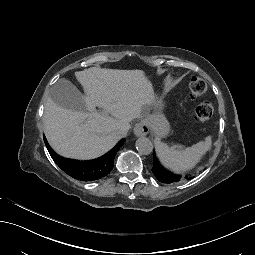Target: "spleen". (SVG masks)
I'll list each match as a JSON object with an SVG mask.
<instances>
[{"mask_svg":"<svg viewBox=\"0 0 255 255\" xmlns=\"http://www.w3.org/2000/svg\"><path fill=\"white\" fill-rule=\"evenodd\" d=\"M157 154L161 162L176 172L193 167L200 157L205 154L211 146V138L200 141L195 145L182 149L180 146H168L159 138L155 141Z\"/></svg>","mask_w":255,"mask_h":255,"instance_id":"3e777b00","label":"spleen"}]
</instances>
